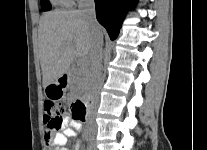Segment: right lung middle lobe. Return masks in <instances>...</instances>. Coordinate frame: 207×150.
Listing matches in <instances>:
<instances>
[{
	"mask_svg": "<svg viewBox=\"0 0 207 150\" xmlns=\"http://www.w3.org/2000/svg\"><path fill=\"white\" fill-rule=\"evenodd\" d=\"M41 7L44 11H49L52 8L48 0H41Z\"/></svg>",
	"mask_w": 207,
	"mask_h": 150,
	"instance_id": "dd1d6c3e",
	"label": "right lung middle lobe"
}]
</instances>
